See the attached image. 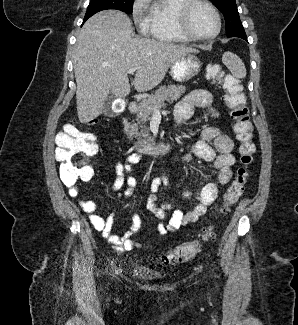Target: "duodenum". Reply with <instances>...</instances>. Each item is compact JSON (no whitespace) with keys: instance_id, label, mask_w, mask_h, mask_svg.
<instances>
[{"instance_id":"410a0bca","label":"duodenum","mask_w":298,"mask_h":325,"mask_svg":"<svg viewBox=\"0 0 298 325\" xmlns=\"http://www.w3.org/2000/svg\"><path fill=\"white\" fill-rule=\"evenodd\" d=\"M128 111L130 114H135L138 111V105L136 102H130L128 105ZM128 120L124 119L123 127L127 129ZM142 149L149 152H162L169 149V146L166 144H159V145H144Z\"/></svg>"}]
</instances>
